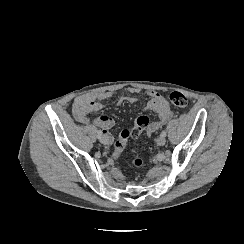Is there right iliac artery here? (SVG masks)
<instances>
[{
    "label": "right iliac artery",
    "mask_w": 244,
    "mask_h": 244,
    "mask_svg": "<svg viewBox=\"0 0 244 244\" xmlns=\"http://www.w3.org/2000/svg\"><path fill=\"white\" fill-rule=\"evenodd\" d=\"M103 135V132L101 130H98L97 137L100 139Z\"/></svg>",
    "instance_id": "82829eb1"
}]
</instances>
